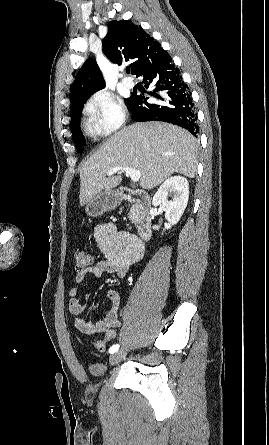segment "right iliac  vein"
Masks as SVG:
<instances>
[{"label":"right iliac vein","mask_w":269,"mask_h":445,"mask_svg":"<svg viewBox=\"0 0 269 445\" xmlns=\"http://www.w3.org/2000/svg\"><path fill=\"white\" fill-rule=\"evenodd\" d=\"M125 355H126V352L123 350L114 353L113 355L110 356V359H109L110 364L111 365L118 364L125 357Z\"/></svg>","instance_id":"63e3f726"}]
</instances>
